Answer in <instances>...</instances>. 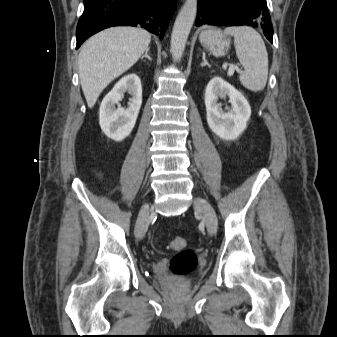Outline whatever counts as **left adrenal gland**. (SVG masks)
Segmentation results:
<instances>
[{"instance_id":"1","label":"left adrenal gland","mask_w":337,"mask_h":337,"mask_svg":"<svg viewBox=\"0 0 337 337\" xmlns=\"http://www.w3.org/2000/svg\"><path fill=\"white\" fill-rule=\"evenodd\" d=\"M206 65L209 66V63H208V61L205 58V53L203 52V62L201 63V66H206Z\"/></svg>"}]
</instances>
